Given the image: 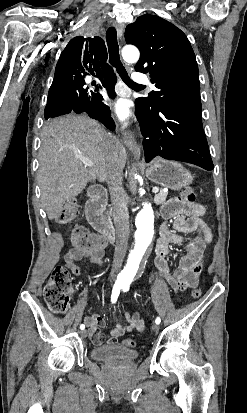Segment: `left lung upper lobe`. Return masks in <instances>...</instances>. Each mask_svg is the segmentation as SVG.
Returning a JSON list of instances; mask_svg holds the SVG:
<instances>
[{"label":"left lung upper lobe","mask_w":247,"mask_h":413,"mask_svg":"<svg viewBox=\"0 0 247 413\" xmlns=\"http://www.w3.org/2000/svg\"><path fill=\"white\" fill-rule=\"evenodd\" d=\"M127 44L140 50L135 70L150 73L157 91L137 98L136 109L145 113L178 107L201 114L198 65L186 35L170 22L145 14L125 30Z\"/></svg>","instance_id":"left-lung-upper-lobe-1"}]
</instances>
